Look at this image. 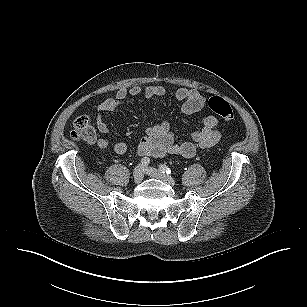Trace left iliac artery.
Masks as SVG:
<instances>
[{"mask_svg":"<svg viewBox=\"0 0 307 307\" xmlns=\"http://www.w3.org/2000/svg\"><path fill=\"white\" fill-rule=\"evenodd\" d=\"M159 169H160V171H162V173H166V174H171V169L168 167V166H166L165 164H161L160 166H159Z\"/></svg>","mask_w":307,"mask_h":307,"instance_id":"left-iliac-artery-1","label":"left iliac artery"}]
</instances>
